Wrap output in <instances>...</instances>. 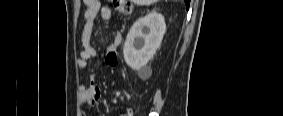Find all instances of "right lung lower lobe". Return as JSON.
<instances>
[{"label": "right lung lower lobe", "mask_w": 283, "mask_h": 116, "mask_svg": "<svg viewBox=\"0 0 283 116\" xmlns=\"http://www.w3.org/2000/svg\"><path fill=\"white\" fill-rule=\"evenodd\" d=\"M185 3H186V8L188 9L189 8V3H190V0H184Z\"/></svg>", "instance_id": "98d812e1"}]
</instances>
